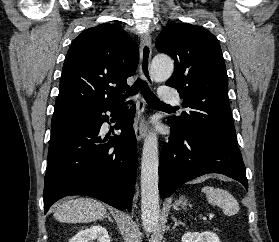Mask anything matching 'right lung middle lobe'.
<instances>
[{
  "instance_id": "obj_1",
  "label": "right lung middle lobe",
  "mask_w": 279,
  "mask_h": 242,
  "mask_svg": "<svg viewBox=\"0 0 279 242\" xmlns=\"http://www.w3.org/2000/svg\"><path fill=\"white\" fill-rule=\"evenodd\" d=\"M82 113H75V114H69L59 117H53L51 122V134L57 132L58 130L76 123Z\"/></svg>"
}]
</instances>
